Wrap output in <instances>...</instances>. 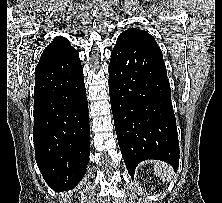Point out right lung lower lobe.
Wrapping results in <instances>:
<instances>
[{"instance_id": "1", "label": "right lung lower lobe", "mask_w": 222, "mask_h": 203, "mask_svg": "<svg viewBox=\"0 0 222 203\" xmlns=\"http://www.w3.org/2000/svg\"><path fill=\"white\" fill-rule=\"evenodd\" d=\"M33 140L37 165L55 191L75 187L89 160V114L80 60L37 66Z\"/></svg>"}]
</instances>
